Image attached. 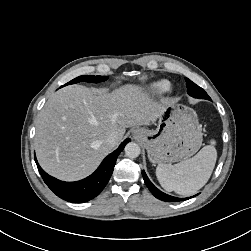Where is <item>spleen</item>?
Segmentation results:
<instances>
[{"label": "spleen", "instance_id": "1", "mask_svg": "<svg viewBox=\"0 0 251 251\" xmlns=\"http://www.w3.org/2000/svg\"><path fill=\"white\" fill-rule=\"evenodd\" d=\"M216 142L203 147L194 157L178 164H159L156 176L166 191L180 195H192L201 189L209 180L214 169L217 151Z\"/></svg>", "mask_w": 251, "mask_h": 251}]
</instances>
